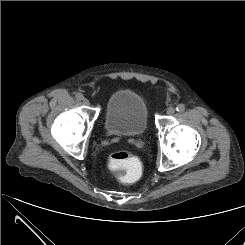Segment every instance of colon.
<instances>
[{
  "label": "colon",
  "instance_id": "colon-1",
  "mask_svg": "<svg viewBox=\"0 0 245 245\" xmlns=\"http://www.w3.org/2000/svg\"><path fill=\"white\" fill-rule=\"evenodd\" d=\"M108 166L122 171L120 180L125 184L135 183L139 178L140 162L127 151L119 150L108 158Z\"/></svg>",
  "mask_w": 245,
  "mask_h": 245
}]
</instances>
